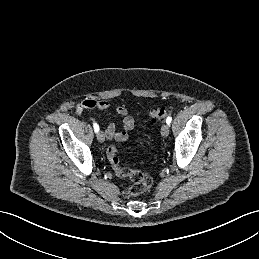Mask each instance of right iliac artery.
Returning <instances> with one entry per match:
<instances>
[{
	"instance_id": "1",
	"label": "right iliac artery",
	"mask_w": 259,
	"mask_h": 259,
	"mask_svg": "<svg viewBox=\"0 0 259 259\" xmlns=\"http://www.w3.org/2000/svg\"><path fill=\"white\" fill-rule=\"evenodd\" d=\"M93 127H94V131L97 133L99 131V126L97 123H94L93 124Z\"/></svg>"
}]
</instances>
